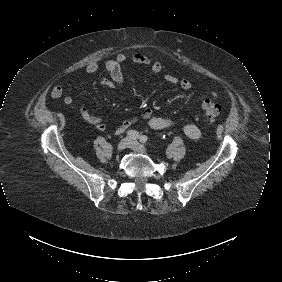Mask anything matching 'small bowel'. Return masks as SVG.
Returning <instances> with one entry per match:
<instances>
[{"instance_id": "obj_1", "label": "small bowel", "mask_w": 282, "mask_h": 282, "mask_svg": "<svg viewBox=\"0 0 282 282\" xmlns=\"http://www.w3.org/2000/svg\"><path fill=\"white\" fill-rule=\"evenodd\" d=\"M126 63L141 64L149 67V69L154 73H160L162 71V64L159 61L151 59L149 56L142 52H135L131 55L124 53L118 54L113 60L109 61L106 65V71L110 75L111 79H105L100 82V86L104 88L119 87L124 85L125 80L121 73V68ZM99 65L96 62H90L85 67V73L93 74L97 72ZM163 80L167 83L177 85L183 91H191L192 83L188 79H180L168 74L163 75ZM64 93V88L62 85L58 84L52 87L50 95L52 98H60ZM216 96V93H213ZM197 101H203V96L198 95ZM64 103L67 106L74 107L77 106L76 101L70 97L66 96L64 98ZM82 118L98 130H105L106 124L104 119L100 115H95L86 105L79 106ZM145 122L148 127L154 130H165V129H178L182 131L188 138L192 140H198L201 137V130L194 124L185 123L180 120L171 118L157 116L154 114L151 108L144 109L140 114L125 119L118 124L115 129V134L120 135L126 130L131 128L133 125Z\"/></svg>"}]
</instances>
